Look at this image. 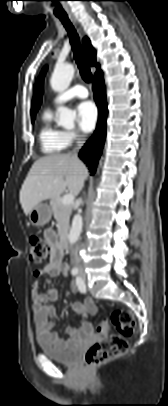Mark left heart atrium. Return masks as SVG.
<instances>
[{
	"mask_svg": "<svg viewBox=\"0 0 168 406\" xmlns=\"http://www.w3.org/2000/svg\"><path fill=\"white\" fill-rule=\"evenodd\" d=\"M78 123L86 133L91 132L97 123L98 111L95 104L91 101H84L77 106Z\"/></svg>",
	"mask_w": 168,
	"mask_h": 406,
	"instance_id": "left-heart-atrium-1",
	"label": "left heart atrium"
}]
</instances>
